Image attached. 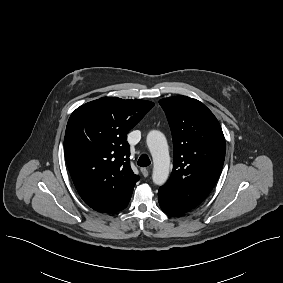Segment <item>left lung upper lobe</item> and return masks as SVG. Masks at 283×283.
<instances>
[{
    "label": "left lung upper lobe",
    "instance_id": "1",
    "mask_svg": "<svg viewBox=\"0 0 283 283\" xmlns=\"http://www.w3.org/2000/svg\"><path fill=\"white\" fill-rule=\"evenodd\" d=\"M173 138V171L166 190L175 203L189 211L198 206L215 186L225 159V139L213 113L187 96L164 98Z\"/></svg>",
    "mask_w": 283,
    "mask_h": 283
}]
</instances>
